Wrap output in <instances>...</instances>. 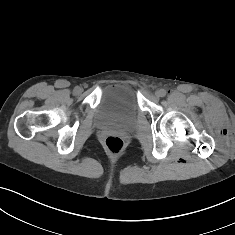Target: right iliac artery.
I'll list each match as a JSON object with an SVG mask.
<instances>
[{"mask_svg": "<svg viewBox=\"0 0 235 235\" xmlns=\"http://www.w3.org/2000/svg\"><path fill=\"white\" fill-rule=\"evenodd\" d=\"M77 87H75L74 92L76 91Z\"/></svg>", "mask_w": 235, "mask_h": 235, "instance_id": "82829eb1", "label": "right iliac artery"}]
</instances>
